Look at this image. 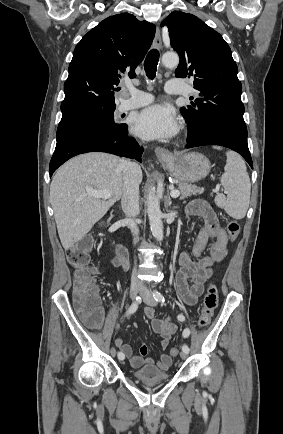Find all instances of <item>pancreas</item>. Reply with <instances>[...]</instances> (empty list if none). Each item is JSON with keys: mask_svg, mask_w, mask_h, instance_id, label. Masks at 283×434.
Segmentation results:
<instances>
[{"mask_svg": "<svg viewBox=\"0 0 283 434\" xmlns=\"http://www.w3.org/2000/svg\"><path fill=\"white\" fill-rule=\"evenodd\" d=\"M178 189L181 194V198H186L191 195L202 194L204 190L202 188H198L196 185L187 184L184 182H180L178 184Z\"/></svg>", "mask_w": 283, "mask_h": 434, "instance_id": "pancreas-1", "label": "pancreas"}]
</instances>
